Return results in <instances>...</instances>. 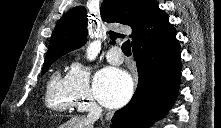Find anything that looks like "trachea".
Here are the masks:
<instances>
[{
	"label": "trachea",
	"mask_w": 221,
	"mask_h": 128,
	"mask_svg": "<svg viewBox=\"0 0 221 128\" xmlns=\"http://www.w3.org/2000/svg\"><path fill=\"white\" fill-rule=\"evenodd\" d=\"M122 51L126 56H130L131 55V46H130V40L125 41L122 44Z\"/></svg>",
	"instance_id": "trachea-1"
}]
</instances>
